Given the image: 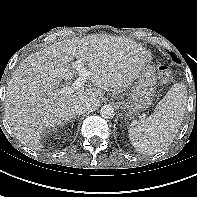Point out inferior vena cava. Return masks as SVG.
Returning <instances> with one entry per match:
<instances>
[{
	"label": "inferior vena cava",
	"instance_id": "1",
	"mask_svg": "<svg viewBox=\"0 0 197 197\" xmlns=\"http://www.w3.org/2000/svg\"><path fill=\"white\" fill-rule=\"evenodd\" d=\"M73 108L77 115H81L91 109V103L87 99H81L75 103Z\"/></svg>",
	"mask_w": 197,
	"mask_h": 197
}]
</instances>
